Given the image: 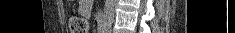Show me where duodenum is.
<instances>
[{
  "label": "duodenum",
  "instance_id": "410a0bca",
  "mask_svg": "<svg viewBox=\"0 0 235 33\" xmlns=\"http://www.w3.org/2000/svg\"><path fill=\"white\" fill-rule=\"evenodd\" d=\"M97 22H98V28L102 32L103 29H104V19H103V15L102 14L98 15Z\"/></svg>",
  "mask_w": 235,
  "mask_h": 33
}]
</instances>
